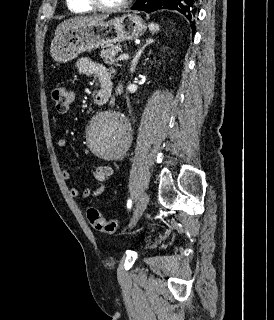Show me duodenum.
<instances>
[{
    "label": "duodenum",
    "instance_id": "410a0bca",
    "mask_svg": "<svg viewBox=\"0 0 274 320\" xmlns=\"http://www.w3.org/2000/svg\"><path fill=\"white\" fill-rule=\"evenodd\" d=\"M109 98H110V96H109L108 92L100 91L95 95L93 101L95 104H105L109 101Z\"/></svg>",
    "mask_w": 274,
    "mask_h": 320
}]
</instances>
